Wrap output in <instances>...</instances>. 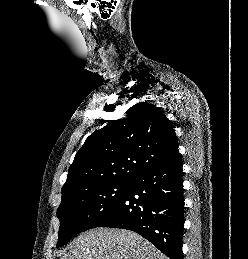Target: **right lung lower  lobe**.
I'll list each match as a JSON object with an SVG mask.
<instances>
[{"instance_id":"98d812e1","label":"right lung lower lobe","mask_w":248,"mask_h":259,"mask_svg":"<svg viewBox=\"0 0 248 259\" xmlns=\"http://www.w3.org/2000/svg\"><path fill=\"white\" fill-rule=\"evenodd\" d=\"M182 174L180 156L139 174L112 214L97 227L135 231L170 259H183Z\"/></svg>"}]
</instances>
